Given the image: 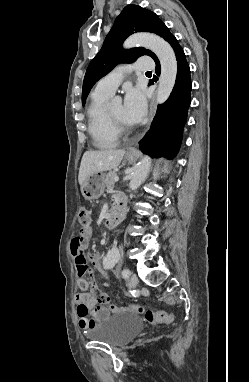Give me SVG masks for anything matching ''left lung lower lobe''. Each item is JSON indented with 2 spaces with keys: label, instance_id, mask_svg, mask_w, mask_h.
<instances>
[{
  "label": "left lung lower lobe",
  "instance_id": "0a47b994",
  "mask_svg": "<svg viewBox=\"0 0 249 382\" xmlns=\"http://www.w3.org/2000/svg\"><path fill=\"white\" fill-rule=\"evenodd\" d=\"M169 43L178 65L175 86L169 99L158 106L151 128L139 142L141 150L152 157L173 158L177 154L190 106V68L177 39L174 37ZM155 62L156 73L159 75L160 63L158 59Z\"/></svg>",
  "mask_w": 249,
  "mask_h": 382
}]
</instances>
